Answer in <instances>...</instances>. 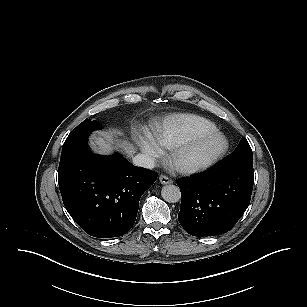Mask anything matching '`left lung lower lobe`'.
Here are the masks:
<instances>
[{
    "mask_svg": "<svg viewBox=\"0 0 307 307\" xmlns=\"http://www.w3.org/2000/svg\"><path fill=\"white\" fill-rule=\"evenodd\" d=\"M253 180V167L222 162L206 173L178 180L181 226L193 236L228 232L249 206Z\"/></svg>",
    "mask_w": 307,
    "mask_h": 307,
    "instance_id": "1",
    "label": "left lung lower lobe"
}]
</instances>
